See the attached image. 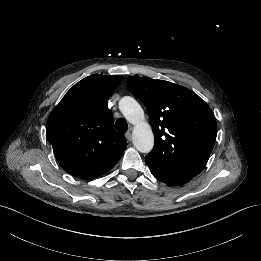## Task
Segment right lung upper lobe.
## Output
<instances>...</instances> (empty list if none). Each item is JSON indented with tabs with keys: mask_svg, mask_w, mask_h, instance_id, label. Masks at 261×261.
Wrapping results in <instances>:
<instances>
[{
	"mask_svg": "<svg viewBox=\"0 0 261 261\" xmlns=\"http://www.w3.org/2000/svg\"><path fill=\"white\" fill-rule=\"evenodd\" d=\"M119 76L93 74L75 84L51 112L46 135L61 167L69 174L92 179L110 170L127 143L113 128L108 99Z\"/></svg>",
	"mask_w": 261,
	"mask_h": 261,
	"instance_id": "obj_1",
	"label": "right lung upper lobe"
}]
</instances>
